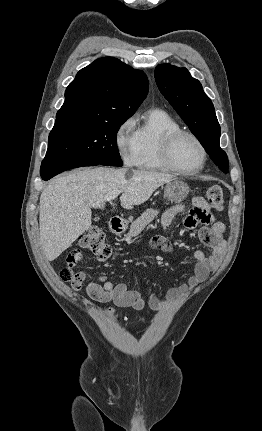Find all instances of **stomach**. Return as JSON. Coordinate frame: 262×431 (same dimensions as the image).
<instances>
[{"label": "stomach", "mask_w": 262, "mask_h": 431, "mask_svg": "<svg viewBox=\"0 0 262 431\" xmlns=\"http://www.w3.org/2000/svg\"><path fill=\"white\" fill-rule=\"evenodd\" d=\"M188 193L189 186L179 179L172 180L164 188V197L170 202H181L187 197Z\"/></svg>", "instance_id": "obj_1"}]
</instances>
